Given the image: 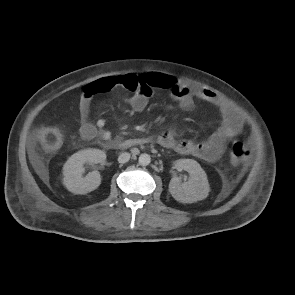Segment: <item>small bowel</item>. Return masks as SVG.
Segmentation results:
<instances>
[{"label":"small bowel","mask_w":295,"mask_h":295,"mask_svg":"<svg viewBox=\"0 0 295 295\" xmlns=\"http://www.w3.org/2000/svg\"><path fill=\"white\" fill-rule=\"evenodd\" d=\"M130 75L135 76L138 80V86L135 89L128 88L125 82L126 77ZM118 86L131 91L129 104L136 112H142L146 108L157 89L167 90L185 111L193 109L196 99L208 102L218 110L222 118L221 125L206 140L200 142L189 139L177 140L173 128L167 129L158 137V143L161 146L180 154L191 155L205 161H215L222 155L227 143L239 135L243 128L242 116L211 90L195 87L162 73L128 74L100 78L82 88L77 104V121L79 134L83 139L91 140L99 137L105 143L110 141L112 134L106 127V121L104 119H98L96 123L90 121V105L96 96L107 93Z\"/></svg>","instance_id":"obj_1"}]
</instances>
